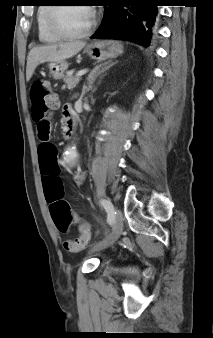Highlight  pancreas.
Here are the masks:
<instances>
[{"mask_svg":"<svg viewBox=\"0 0 213 338\" xmlns=\"http://www.w3.org/2000/svg\"><path fill=\"white\" fill-rule=\"evenodd\" d=\"M65 85H63V89L68 88L72 90L76 84L79 82V77H74L72 75H66L63 77Z\"/></svg>","mask_w":213,"mask_h":338,"instance_id":"1","label":"pancreas"}]
</instances>
